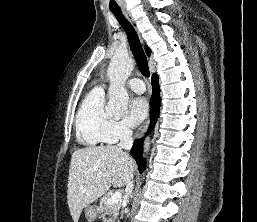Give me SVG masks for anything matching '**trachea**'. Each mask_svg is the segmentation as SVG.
<instances>
[{"label":"trachea","instance_id":"trachea-1","mask_svg":"<svg viewBox=\"0 0 257 222\" xmlns=\"http://www.w3.org/2000/svg\"><path fill=\"white\" fill-rule=\"evenodd\" d=\"M111 11L127 34L128 42H129L131 51L133 53V56L135 58V61L137 63L139 71L143 76L149 77L150 71L148 67V61L134 27L126 19V17L122 14L120 10H111Z\"/></svg>","mask_w":257,"mask_h":222}]
</instances>
